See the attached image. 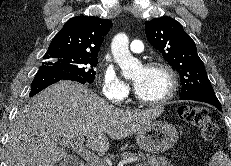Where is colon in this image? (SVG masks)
<instances>
[{
  "label": "colon",
  "mask_w": 231,
  "mask_h": 166,
  "mask_svg": "<svg viewBox=\"0 0 231 166\" xmlns=\"http://www.w3.org/2000/svg\"><path fill=\"white\" fill-rule=\"evenodd\" d=\"M178 116L186 124L197 127L205 141L209 142L215 138L217 126L207 108L195 105H182L178 108Z\"/></svg>",
  "instance_id": "obj_1"
}]
</instances>
